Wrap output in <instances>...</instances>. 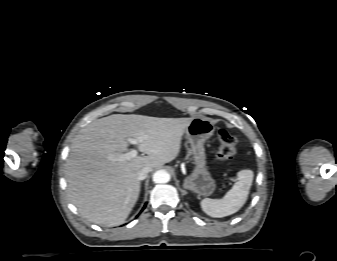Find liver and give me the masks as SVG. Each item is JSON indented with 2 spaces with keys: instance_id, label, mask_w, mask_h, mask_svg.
Wrapping results in <instances>:
<instances>
[{
  "instance_id": "6515ba94",
  "label": "liver",
  "mask_w": 337,
  "mask_h": 261,
  "mask_svg": "<svg viewBox=\"0 0 337 261\" xmlns=\"http://www.w3.org/2000/svg\"><path fill=\"white\" fill-rule=\"evenodd\" d=\"M192 119L113 114L82 128L65 165L70 201L92 223L108 227L123 224L140 194L138 171L174 160ZM141 136L146 138L137 147L147 156L112 160L113 155L127 151L128 138Z\"/></svg>"
}]
</instances>
